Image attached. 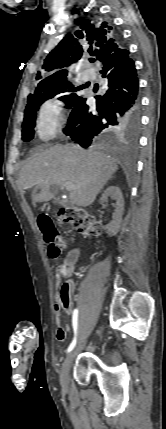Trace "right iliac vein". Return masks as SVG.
I'll return each instance as SVG.
<instances>
[{"instance_id":"1","label":"right iliac vein","mask_w":166,"mask_h":429,"mask_svg":"<svg viewBox=\"0 0 166 429\" xmlns=\"http://www.w3.org/2000/svg\"><path fill=\"white\" fill-rule=\"evenodd\" d=\"M76 350H72L65 358L62 368H61V373H60V383L61 386L64 389H67L68 387V382H69V370H70V366L73 362L74 356H75Z\"/></svg>"}]
</instances>
